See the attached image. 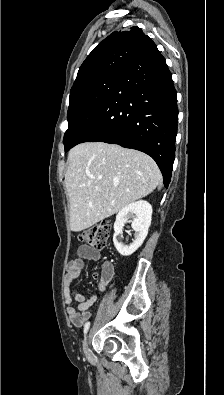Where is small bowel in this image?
<instances>
[{"label": "small bowel", "mask_w": 224, "mask_h": 395, "mask_svg": "<svg viewBox=\"0 0 224 395\" xmlns=\"http://www.w3.org/2000/svg\"><path fill=\"white\" fill-rule=\"evenodd\" d=\"M100 252L88 245H82L78 248V256L69 261L66 265L65 275V297L67 304V313L70 321L74 326H82V324L91 317L90 308L96 303L98 296L92 295L90 298H86L77 289L71 288L72 282L79 276L81 270L85 267V260L99 261ZM113 268L109 266L108 275L100 279L98 283V290L103 291L106 285L113 278ZM74 302L78 305L75 306Z\"/></svg>", "instance_id": "1"}]
</instances>
